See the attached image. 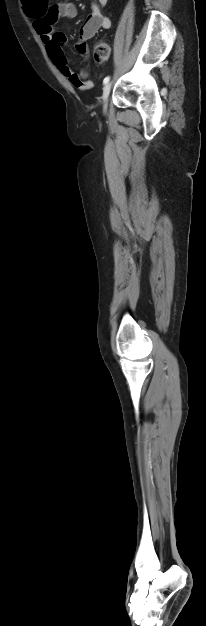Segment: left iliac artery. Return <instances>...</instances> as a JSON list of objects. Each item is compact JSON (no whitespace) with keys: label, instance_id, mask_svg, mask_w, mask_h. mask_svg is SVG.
Listing matches in <instances>:
<instances>
[{"label":"left iliac artery","instance_id":"left-iliac-artery-1","mask_svg":"<svg viewBox=\"0 0 206 626\" xmlns=\"http://www.w3.org/2000/svg\"><path fill=\"white\" fill-rule=\"evenodd\" d=\"M109 80H110V76L105 77L103 80V84H107Z\"/></svg>","mask_w":206,"mask_h":626}]
</instances>
